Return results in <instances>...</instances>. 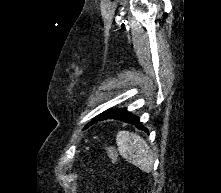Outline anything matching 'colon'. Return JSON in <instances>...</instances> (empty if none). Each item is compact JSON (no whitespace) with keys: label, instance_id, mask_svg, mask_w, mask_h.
Masks as SVG:
<instances>
[{"label":"colon","instance_id":"colon-1","mask_svg":"<svg viewBox=\"0 0 221 193\" xmlns=\"http://www.w3.org/2000/svg\"><path fill=\"white\" fill-rule=\"evenodd\" d=\"M103 150L106 152L108 157L112 160L113 163H116L118 160V155L113 146L110 145H104Z\"/></svg>","mask_w":221,"mask_h":193}]
</instances>
